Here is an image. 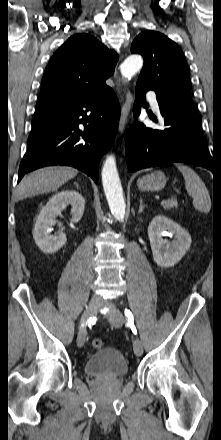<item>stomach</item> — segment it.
Returning <instances> with one entry per match:
<instances>
[{
    "mask_svg": "<svg viewBox=\"0 0 221 440\" xmlns=\"http://www.w3.org/2000/svg\"><path fill=\"white\" fill-rule=\"evenodd\" d=\"M166 176L162 171H154L137 181V186L142 191H159L166 185Z\"/></svg>",
    "mask_w": 221,
    "mask_h": 440,
    "instance_id": "0dacf381",
    "label": "stomach"
}]
</instances>
